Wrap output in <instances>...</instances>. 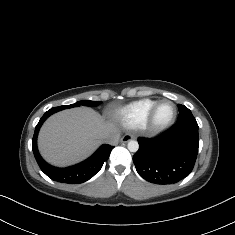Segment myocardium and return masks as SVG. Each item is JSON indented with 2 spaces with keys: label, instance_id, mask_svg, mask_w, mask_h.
<instances>
[{
  "label": "myocardium",
  "instance_id": "myocardium-1",
  "mask_svg": "<svg viewBox=\"0 0 235 235\" xmlns=\"http://www.w3.org/2000/svg\"><path fill=\"white\" fill-rule=\"evenodd\" d=\"M164 102H171L175 108V113H174V116L172 117V119L170 121H168L167 123L158 124L156 122V112H157V109L159 108V106ZM177 116H178L177 104L173 100H170V99H166V98L160 99L153 105V107L149 113V116L147 119L148 129L150 130V132H152L154 134L161 133V132L169 129L175 123Z\"/></svg>",
  "mask_w": 235,
  "mask_h": 235
}]
</instances>
